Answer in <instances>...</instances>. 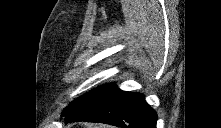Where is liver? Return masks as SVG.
Wrapping results in <instances>:
<instances>
[{
  "mask_svg": "<svg viewBox=\"0 0 221 128\" xmlns=\"http://www.w3.org/2000/svg\"><path fill=\"white\" fill-rule=\"evenodd\" d=\"M88 128H111L109 125H104V124H94V125H89Z\"/></svg>",
  "mask_w": 221,
  "mask_h": 128,
  "instance_id": "6515ba94",
  "label": "liver"
}]
</instances>
